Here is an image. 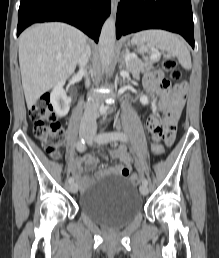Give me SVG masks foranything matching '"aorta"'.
Wrapping results in <instances>:
<instances>
[{
    "label": "aorta",
    "instance_id": "aorta-1",
    "mask_svg": "<svg viewBox=\"0 0 219 258\" xmlns=\"http://www.w3.org/2000/svg\"><path fill=\"white\" fill-rule=\"evenodd\" d=\"M116 41L115 19L109 17L103 24L99 38V53L102 66L108 67L114 56Z\"/></svg>",
    "mask_w": 219,
    "mask_h": 258
}]
</instances>
